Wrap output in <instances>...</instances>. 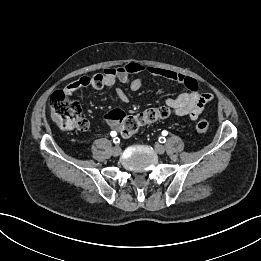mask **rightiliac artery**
Returning <instances> with one entry per match:
<instances>
[{
    "instance_id": "82829eb1",
    "label": "right iliac artery",
    "mask_w": 261,
    "mask_h": 261,
    "mask_svg": "<svg viewBox=\"0 0 261 261\" xmlns=\"http://www.w3.org/2000/svg\"><path fill=\"white\" fill-rule=\"evenodd\" d=\"M117 135V133L115 132V131H112L111 132V136H116ZM113 142L115 143V144H118L119 142H120V139L118 138V137H115L114 139H113Z\"/></svg>"
}]
</instances>
